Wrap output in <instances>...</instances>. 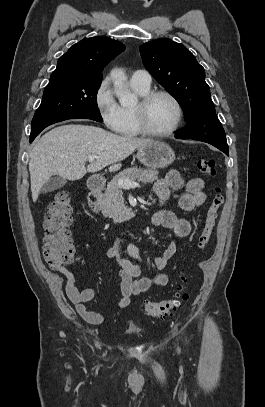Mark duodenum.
<instances>
[{
	"instance_id": "410a0bca",
	"label": "duodenum",
	"mask_w": 265,
	"mask_h": 407,
	"mask_svg": "<svg viewBox=\"0 0 265 407\" xmlns=\"http://www.w3.org/2000/svg\"><path fill=\"white\" fill-rule=\"evenodd\" d=\"M104 183L97 178H90L88 180L89 196L88 204L89 207L94 211H99V194L103 189Z\"/></svg>"
}]
</instances>
